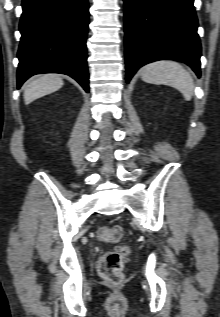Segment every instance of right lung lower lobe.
Instances as JSON below:
<instances>
[{
    "mask_svg": "<svg viewBox=\"0 0 220 317\" xmlns=\"http://www.w3.org/2000/svg\"><path fill=\"white\" fill-rule=\"evenodd\" d=\"M22 8L18 88L34 74L62 73L88 92V1L23 0Z\"/></svg>",
    "mask_w": 220,
    "mask_h": 317,
    "instance_id": "98d812e1",
    "label": "right lung lower lobe"
}]
</instances>
